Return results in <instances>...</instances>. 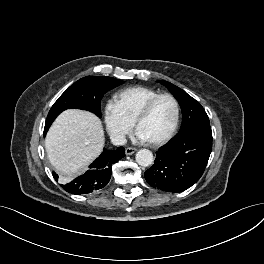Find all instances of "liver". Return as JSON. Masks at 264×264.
Wrapping results in <instances>:
<instances>
[{
    "label": "liver",
    "mask_w": 264,
    "mask_h": 264,
    "mask_svg": "<svg viewBox=\"0 0 264 264\" xmlns=\"http://www.w3.org/2000/svg\"><path fill=\"white\" fill-rule=\"evenodd\" d=\"M104 131L99 118L84 110L61 113L49 129L45 148L63 182L84 172L102 152Z\"/></svg>",
    "instance_id": "liver-1"
}]
</instances>
